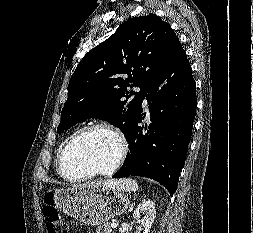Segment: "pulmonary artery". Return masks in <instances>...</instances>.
Returning a JSON list of instances; mask_svg holds the SVG:
<instances>
[{"label": "pulmonary artery", "instance_id": "pulmonary-artery-1", "mask_svg": "<svg viewBox=\"0 0 253 233\" xmlns=\"http://www.w3.org/2000/svg\"><path fill=\"white\" fill-rule=\"evenodd\" d=\"M136 91L139 92L140 88H136ZM144 104H147V99L146 98L144 99Z\"/></svg>", "mask_w": 253, "mask_h": 233}]
</instances>
